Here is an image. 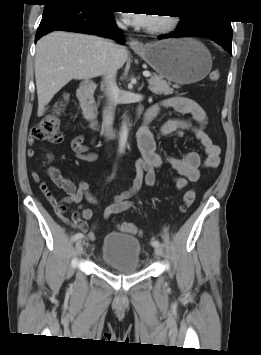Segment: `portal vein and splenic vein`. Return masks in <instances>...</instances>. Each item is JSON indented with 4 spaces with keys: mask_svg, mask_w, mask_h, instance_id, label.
<instances>
[{
    "mask_svg": "<svg viewBox=\"0 0 261 355\" xmlns=\"http://www.w3.org/2000/svg\"><path fill=\"white\" fill-rule=\"evenodd\" d=\"M80 62H82V60H80ZM143 76H144V77H150V76H151V73L148 72V71H144V72H143Z\"/></svg>",
    "mask_w": 261,
    "mask_h": 355,
    "instance_id": "portal-vein-and-splenic-vein-1",
    "label": "portal vein and splenic vein"
}]
</instances>
